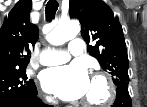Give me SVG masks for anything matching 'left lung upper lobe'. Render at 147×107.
I'll use <instances>...</instances> for the list:
<instances>
[{"label":"left lung upper lobe","mask_w":147,"mask_h":107,"mask_svg":"<svg viewBox=\"0 0 147 107\" xmlns=\"http://www.w3.org/2000/svg\"><path fill=\"white\" fill-rule=\"evenodd\" d=\"M70 17L81 24L90 55L112 75L114 84L128 83V55L122 26L102 0H70Z\"/></svg>","instance_id":"5c2ea615"}]
</instances>
